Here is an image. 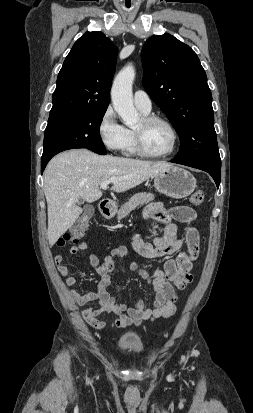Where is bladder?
I'll return each mask as SVG.
<instances>
[{
    "label": "bladder",
    "mask_w": 253,
    "mask_h": 413,
    "mask_svg": "<svg viewBox=\"0 0 253 413\" xmlns=\"http://www.w3.org/2000/svg\"><path fill=\"white\" fill-rule=\"evenodd\" d=\"M118 350L125 355H139L144 352V346L137 341L125 340L119 344Z\"/></svg>",
    "instance_id": "obj_1"
}]
</instances>
